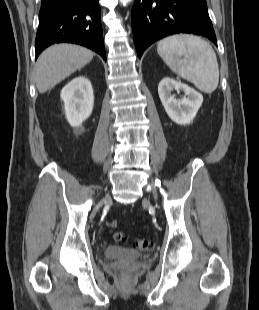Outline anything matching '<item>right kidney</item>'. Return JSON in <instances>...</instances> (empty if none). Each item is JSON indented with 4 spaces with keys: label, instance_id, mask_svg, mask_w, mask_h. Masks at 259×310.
Returning <instances> with one entry per match:
<instances>
[{
    "label": "right kidney",
    "instance_id": "1",
    "mask_svg": "<svg viewBox=\"0 0 259 310\" xmlns=\"http://www.w3.org/2000/svg\"><path fill=\"white\" fill-rule=\"evenodd\" d=\"M61 99L67 121L75 128V133L81 132L82 123L91 115L94 105V94L91 82L84 76L70 81L61 91Z\"/></svg>",
    "mask_w": 259,
    "mask_h": 310
}]
</instances>
